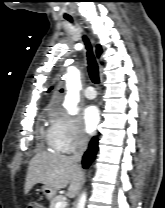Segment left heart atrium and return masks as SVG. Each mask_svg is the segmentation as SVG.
<instances>
[{
    "mask_svg": "<svg viewBox=\"0 0 165 208\" xmlns=\"http://www.w3.org/2000/svg\"><path fill=\"white\" fill-rule=\"evenodd\" d=\"M100 113L96 106L90 105L83 110V125L88 133H92L98 126Z\"/></svg>",
    "mask_w": 165,
    "mask_h": 208,
    "instance_id": "obj_1",
    "label": "left heart atrium"
}]
</instances>
